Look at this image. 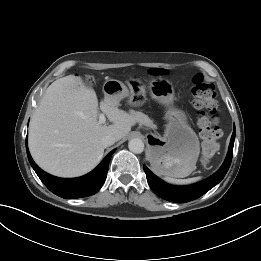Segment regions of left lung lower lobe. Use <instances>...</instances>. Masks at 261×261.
Wrapping results in <instances>:
<instances>
[{
  "label": "left lung lower lobe",
  "mask_w": 261,
  "mask_h": 261,
  "mask_svg": "<svg viewBox=\"0 0 261 261\" xmlns=\"http://www.w3.org/2000/svg\"><path fill=\"white\" fill-rule=\"evenodd\" d=\"M235 129V128H234ZM235 130L233 131L228 154L221 168L209 178L189 186H173L156 177L145 165L147 181L151 189L159 197L174 203H186L199 198L218 184L226 175L232 160Z\"/></svg>",
  "instance_id": "obj_1"
}]
</instances>
